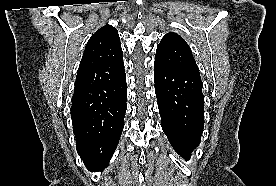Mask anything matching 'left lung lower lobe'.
Masks as SVG:
<instances>
[{"mask_svg":"<svg viewBox=\"0 0 276 186\" xmlns=\"http://www.w3.org/2000/svg\"><path fill=\"white\" fill-rule=\"evenodd\" d=\"M155 93L161 126L173 149L190 158L204 128V96L200 74L154 63Z\"/></svg>","mask_w":276,"mask_h":186,"instance_id":"obj_1","label":"left lung lower lobe"}]
</instances>
